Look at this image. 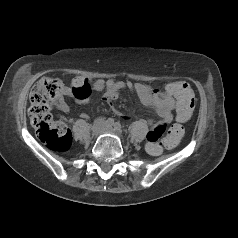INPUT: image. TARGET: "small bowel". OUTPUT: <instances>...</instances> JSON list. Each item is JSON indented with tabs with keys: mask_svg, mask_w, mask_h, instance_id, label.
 I'll list each match as a JSON object with an SVG mask.
<instances>
[{
	"mask_svg": "<svg viewBox=\"0 0 238 238\" xmlns=\"http://www.w3.org/2000/svg\"><path fill=\"white\" fill-rule=\"evenodd\" d=\"M181 82H173L166 85L163 89L151 88L146 84L127 81H116L113 79L103 80L98 79L92 83L83 77H76L72 80L71 89H65L64 96H73L76 101L86 103L92 90L103 91L105 90V100L111 102L115 100L121 90L127 89L135 93L140 99L141 103L145 106L153 107L159 120L156 123L150 122L152 127L165 126L173 119V110H177V98L172 92L177 88ZM59 110L67 113L70 111V106L65 98H61L57 104ZM85 117V115H84ZM188 120V118H186Z\"/></svg>",
	"mask_w": 238,
	"mask_h": 238,
	"instance_id": "1",
	"label": "small bowel"
}]
</instances>
